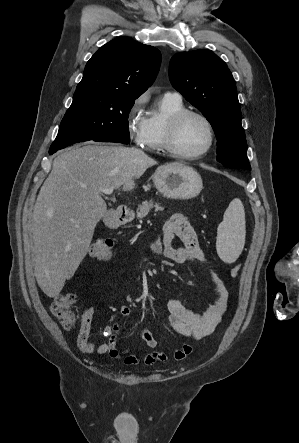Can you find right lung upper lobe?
<instances>
[{"mask_svg": "<svg viewBox=\"0 0 299 443\" xmlns=\"http://www.w3.org/2000/svg\"><path fill=\"white\" fill-rule=\"evenodd\" d=\"M161 54L129 37L103 45L87 62L75 92L99 91L136 99L154 82Z\"/></svg>", "mask_w": 299, "mask_h": 443, "instance_id": "cb5924a9", "label": "right lung upper lobe"}]
</instances>
